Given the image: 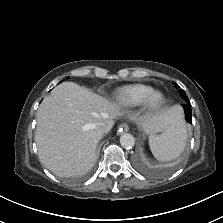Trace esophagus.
Segmentation results:
<instances>
[{"label": "esophagus", "instance_id": "34e87169", "mask_svg": "<svg viewBox=\"0 0 223 223\" xmlns=\"http://www.w3.org/2000/svg\"><path fill=\"white\" fill-rule=\"evenodd\" d=\"M129 130V126L127 124H122L118 129V134H122Z\"/></svg>", "mask_w": 223, "mask_h": 223}]
</instances>
